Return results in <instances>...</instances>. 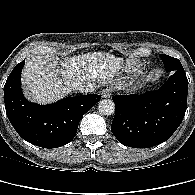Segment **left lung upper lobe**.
Masks as SVG:
<instances>
[{
    "instance_id": "5c2ea615",
    "label": "left lung upper lobe",
    "mask_w": 195,
    "mask_h": 195,
    "mask_svg": "<svg viewBox=\"0 0 195 195\" xmlns=\"http://www.w3.org/2000/svg\"><path fill=\"white\" fill-rule=\"evenodd\" d=\"M159 56L162 59L167 72L176 71V70H184L178 59L170 57L168 55H164V54H159Z\"/></svg>"
}]
</instances>
